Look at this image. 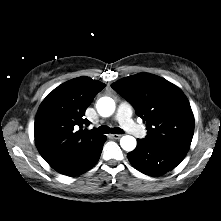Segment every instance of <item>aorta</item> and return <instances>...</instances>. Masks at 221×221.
Wrapping results in <instances>:
<instances>
[{
    "label": "aorta",
    "instance_id": "obj_1",
    "mask_svg": "<svg viewBox=\"0 0 221 221\" xmlns=\"http://www.w3.org/2000/svg\"><path fill=\"white\" fill-rule=\"evenodd\" d=\"M96 109L101 116L108 117L115 111V102L110 97H101L96 103ZM136 144V139L130 135H125L120 139L121 148L128 152L133 151Z\"/></svg>",
    "mask_w": 221,
    "mask_h": 221
}]
</instances>
